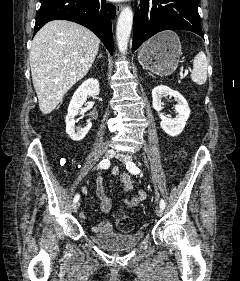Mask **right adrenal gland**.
Returning <instances> with one entry per match:
<instances>
[{"instance_id": "right-adrenal-gland-1", "label": "right adrenal gland", "mask_w": 240, "mask_h": 281, "mask_svg": "<svg viewBox=\"0 0 240 281\" xmlns=\"http://www.w3.org/2000/svg\"><path fill=\"white\" fill-rule=\"evenodd\" d=\"M103 57V55L101 54V53H99V56H98V58H102Z\"/></svg>"}]
</instances>
